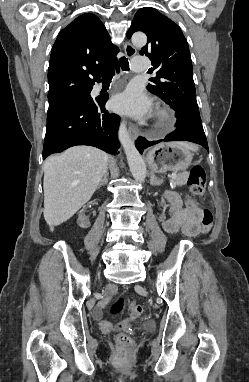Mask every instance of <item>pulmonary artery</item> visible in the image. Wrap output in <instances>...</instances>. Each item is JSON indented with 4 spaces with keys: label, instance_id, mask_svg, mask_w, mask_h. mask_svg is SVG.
I'll return each mask as SVG.
<instances>
[{
    "label": "pulmonary artery",
    "instance_id": "pulmonary-artery-1",
    "mask_svg": "<svg viewBox=\"0 0 249 382\" xmlns=\"http://www.w3.org/2000/svg\"><path fill=\"white\" fill-rule=\"evenodd\" d=\"M131 66L135 71H144L148 69V60L145 57H136L132 59Z\"/></svg>",
    "mask_w": 249,
    "mask_h": 382
}]
</instances>
